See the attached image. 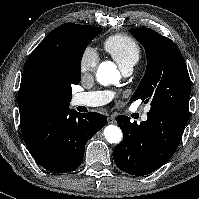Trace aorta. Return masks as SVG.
Segmentation results:
<instances>
[{
  "mask_svg": "<svg viewBox=\"0 0 199 199\" xmlns=\"http://www.w3.org/2000/svg\"><path fill=\"white\" fill-rule=\"evenodd\" d=\"M119 78V71L111 63H103L97 71V80L102 85L117 82ZM104 136L110 143H119L122 139V131L118 126L109 125L104 129Z\"/></svg>",
  "mask_w": 199,
  "mask_h": 199,
  "instance_id": "1",
  "label": "aorta"
}]
</instances>
